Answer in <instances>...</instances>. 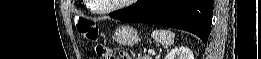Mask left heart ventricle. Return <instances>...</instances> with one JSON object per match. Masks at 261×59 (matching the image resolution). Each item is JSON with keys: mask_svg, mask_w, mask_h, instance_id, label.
<instances>
[{"mask_svg": "<svg viewBox=\"0 0 261 59\" xmlns=\"http://www.w3.org/2000/svg\"><path fill=\"white\" fill-rule=\"evenodd\" d=\"M125 2L124 0H96L94 1L95 5L98 7V8H102V9H105V8H109V7H112V6H115L119 3H123Z\"/></svg>", "mask_w": 261, "mask_h": 59, "instance_id": "b2bd125f", "label": "left heart ventricle"}]
</instances>
